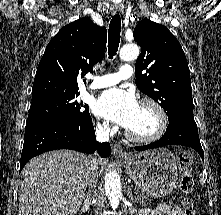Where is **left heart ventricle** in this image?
I'll list each match as a JSON object with an SVG mask.
<instances>
[{
  "mask_svg": "<svg viewBox=\"0 0 221 215\" xmlns=\"http://www.w3.org/2000/svg\"><path fill=\"white\" fill-rule=\"evenodd\" d=\"M158 126V119L154 110L148 105H139L137 113L127 128L133 134L147 136L152 134Z\"/></svg>",
  "mask_w": 221,
  "mask_h": 215,
  "instance_id": "left-heart-ventricle-1",
  "label": "left heart ventricle"
}]
</instances>
